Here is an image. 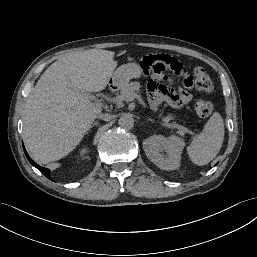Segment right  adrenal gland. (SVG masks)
I'll return each instance as SVG.
<instances>
[{
    "label": "right adrenal gland",
    "instance_id": "2a0ac1e0",
    "mask_svg": "<svg viewBox=\"0 0 257 257\" xmlns=\"http://www.w3.org/2000/svg\"><path fill=\"white\" fill-rule=\"evenodd\" d=\"M98 124V121H95L91 124L90 129Z\"/></svg>",
    "mask_w": 257,
    "mask_h": 257
}]
</instances>
